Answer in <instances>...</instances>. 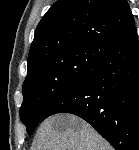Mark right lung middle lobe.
I'll return each instance as SVG.
<instances>
[{"mask_svg":"<svg viewBox=\"0 0 139 150\" xmlns=\"http://www.w3.org/2000/svg\"><path fill=\"white\" fill-rule=\"evenodd\" d=\"M109 47L92 45L62 51L28 72L20 108V118L28 134L33 133L57 97L85 76Z\"/></svg>","mask_w":139,"mask_h":150,"instance_id":"right-lung-middle-lobe-1","label":"right lung middle lobe"}]
</instances>
